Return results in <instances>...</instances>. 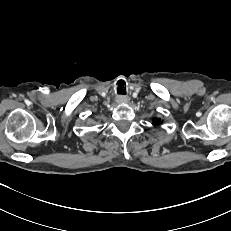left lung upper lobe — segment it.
<instances>
[{
	"label": "left lung upper lobe",
	"instance_id": "obj_1",
	"mask_svg": "<svg viewBox=\"0 0 231 231\" xmlns=\"http://www.w3.org/2000/svg\"><path fill=\"white\" fill-rule=\"evenodd\" d=\"M160 123H161V120L158 119V118H156V119L153 120V124L154 125H159Z\"/></svg>",
	"mask_w": 231,
	"mask_h": 231
}]
</instances>
